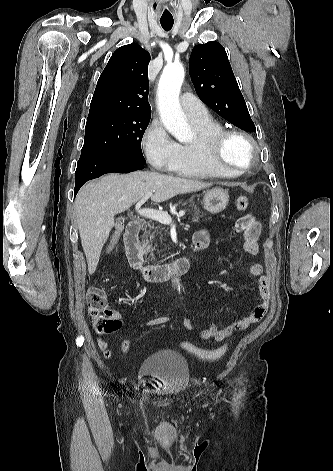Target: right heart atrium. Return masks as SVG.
Here are the masks:
<instances>
[{"mask_svg":"<svg viewBox=\"0 0 333 471\" xmlns=\"http://www.w3.org/2000/svg\"><path fill=\"white\" fill-rule=\"evenodd\" d=\"M142 147L149 163L157 170H170L178 155V143L159 121H153L146 129Z\"/></svg>","mask_w":333,"mask_h":471,"instance_id":"d8ad5b80","label":"right heart atrium"}]
</instances>
